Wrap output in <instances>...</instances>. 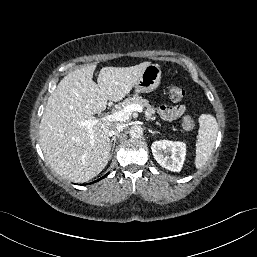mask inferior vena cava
<instances>
[{
	"instance_id": "inferior-vena-cava-1",
	"label": "inferior vena cava",
	"mask_w": 257,
	"mask_h": 257,
	"mask_svg": "<svg viewBox=\"0 0 257 257\" xmlns=\"http://www.w3.org/2000/svg\"><path fill=\"white\" fill-rule=\"evenodd\" d=\"M122 131H123V125L122 124H113L110 127V130L108 131V135L109 136H116Z\"/></svg>"
}]
</instances>
